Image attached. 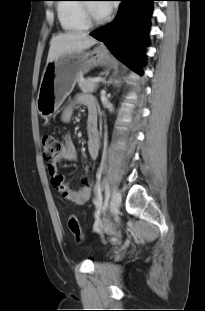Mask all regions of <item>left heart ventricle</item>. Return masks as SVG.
<instances>
[{"mask_svg": "<svg viewBox=\"0 0 205 311\" xmlns=\"http://www.w3.org/2000/svg\"><path fill=\"white\" fill-rule=\"evenodd\" d=\"M91 8H92V11H93L95 17H97V18L102 17V15L99 13V11L97 9L96 4H91Z\"/></svg>", "mask_w": 205, "mask_h": 311, "instance_id": "obj_1", "label": "left heart ventricle"}]
</instances>
